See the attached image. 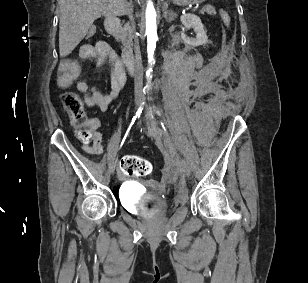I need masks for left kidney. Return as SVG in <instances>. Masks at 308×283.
<instances>
[{
    "instance_id": "left-kidney-1",
    "label": "left kidney",
    "mask_w": 308,
    "mask_h": 283,
    "mask_svg": "<svg viewBox=\"0 0 308 283\" xmlns=\"http://www.w3.org/2000/svg\"><path fill=\"white\" fill-rule=\"evenodd\" d=\"M180 19L185 28H193L196 33V38H190L184 32L181 33V38L186 45L196 47L206 43V31L204 30V25L198 16L193 14H185L182 15Z\"/></svg>"
}]
</instances>
